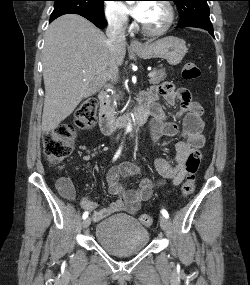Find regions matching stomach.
Here are the masks:
<instances>
[{"instance_id":"1","label":"stomach","mask_w":250,"mask_h":285,"mask_svg":"<svg viewBox=\"0 0 250 285\" xmlns=\"http://www.w3.org/2000/svg\"><path fill=\"white\" fill-rule=\"evenodd\" d=\"M187 52L185 42L174 36H167L162 39L147 42L142 50H135L134 53L142 59L161 58L170 65L179 64Z\"/></svg>"}]
</instances>
